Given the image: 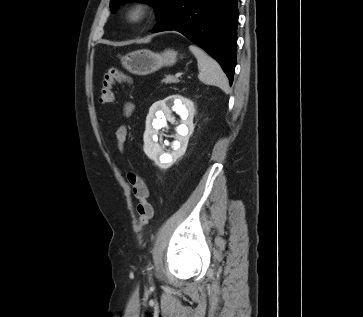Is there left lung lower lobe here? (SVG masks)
<instances>
[{
	"instance_id": "0a47b994",
	"label": "left lung lower lobe",
	"mask_w": 363,
	"mask_h": 317,
	"mask_svg": "<svg viewBox=\"0 0 363 317\" xmlns=\"http://www.w3.org/2000/svg\"><path fill=\"white\" fill-rule=\"evenodd\" d=\"M238 14L237 0H169L151 32L182 33L220 63L232 84Z\"/></svg>"
}]
</instances>
